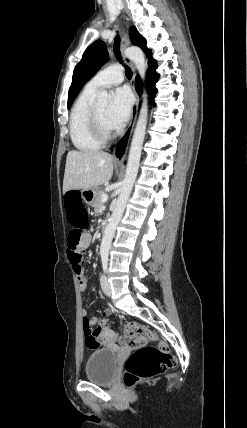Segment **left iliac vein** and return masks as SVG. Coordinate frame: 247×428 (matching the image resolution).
<instances>
[{"label": "left iliac vein", "instance_id": "obj_1", "mask_svg": "<svg viewBox=\"0 0 247 428\" xmlns=\"http://www.w3.org/2000/svg\"><path fill=\"white\" fill-rule=\"evenodd\" d=\"M100 282H101V287H102L103 292L105 293L106 296L110 297L111 296V286L107 280V277L105 275H102Z\"/></svg>", "mask_w": 247, "mask_h": 428}]
</instances>
